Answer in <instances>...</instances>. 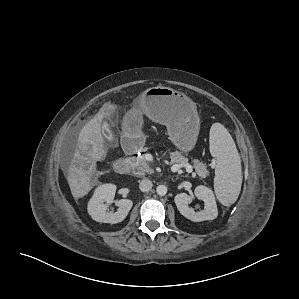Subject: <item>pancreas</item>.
<instances>
[{
    "instance_id": "cf45deb5",
    "label": "pancreas",
    "mask_w": 299,
    "mask_h": 299,
    "mask_svg": "<svg viewBox=\"0 0 299 299\" xmlns=\"http://www.w3.org/2000/svg\"><path fill=\"white\" fill-rule=\"evenodd\" d=\"M171 163L172 164H185L187 163L188 159L185 158L180 152H172L170 154ZM130 164L132 167V173L136 176H144L146 174L153 173V169L150 168L149 162L145 159L144 156L140 157H132L129 158ZM194 168L198 175L201 177L206 176L207 169L205 164L202 162H199L198 160H194Z\"/></svg>"
}]
</instances>
